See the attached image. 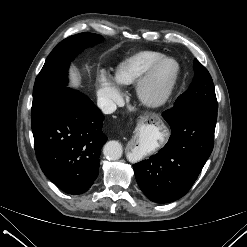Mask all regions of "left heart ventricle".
Segmentation results:
<instances>
[{"instance_id":"b2bd125f","label":"left heart ventricle","mask_w":247,"mask_h":247,"mask_svg":"<svg viewBox=\"0 0 247 247\" xmlns=\"http://www.w3.org/2000/svg\"><path fill=\"white\" fill-rule=\"evenodd\" d=\"M171 65L169 63H165L163 64L157 71L156 74V83L158 85L162 84L163 82H165L167 80V78L169 77L170 73H171Z\"/></svg>"}]
</instances>
